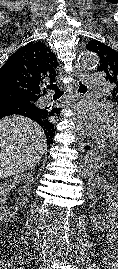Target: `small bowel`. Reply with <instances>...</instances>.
<instances>
[{
	"label": "small bowel",
	"mask_w": 118,
	"mask_h": 269,
	"mask_svg": "<svg viewBox=\"0 0 118 269\" xmlns=\"http://www.w3.org/2000/svg\"><path fill=\"white\" fill-rule=\"evenodd\" d=\"M116 230H118V223L115 225V230L108 234L107 239L111 246V249H115L118 251V235L116 233Z\"/></svg>",
	"instance_id": "c3829d8e"
}]
</instances>
